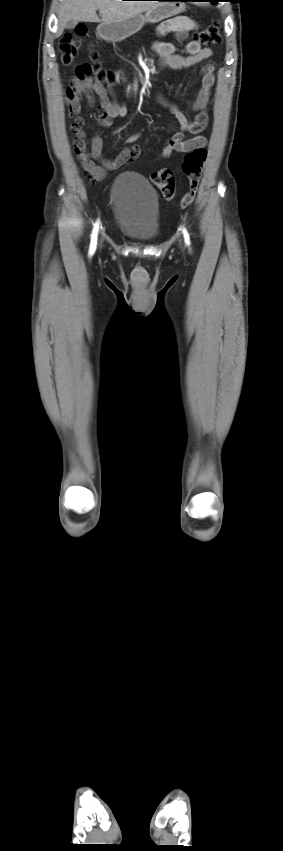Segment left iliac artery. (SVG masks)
Returning a JSON list of instances; mask_svg holds the SVG:
<instances>
[{"instance_id": "1", "label": "left iliac artery", "mask_w": 283, "mask_h": 851, "mask_svg": "<svg viewBox=\"0 0 283 851\" xmlns=\"http://www.w3.org/2000/svg\"><path fill=\"white\" fill-rule=\"evenodd\" d=\"M183 234H184V238H185V243L187 245H190L189 235H188V232H187L186 229H183Z\"/></svg>"}]
</instances>
